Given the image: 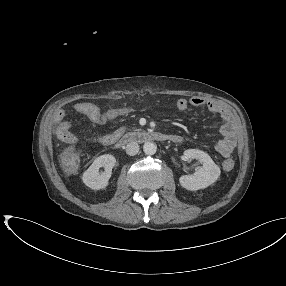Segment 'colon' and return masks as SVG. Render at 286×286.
<instances>
[{
  "instance_id": "5ec220e1",
  "label": "colon",
  "mask_w": 286,
  "mask_h": 286,
  "mask_svg": "<svg viewBox=\"0 0 286 286\" xmlns=\"http://www.w3.org/2000/svg\"><path fill=\"white\" fill-rule=\"evenodd\" d=\"M62 141H64L65 143L69 145L64 149L61 155V162L66 169L74 170L79 164V160H80L79 153L74 149L73 146H71L72 143L70 142L69 139L65 138ZM233 165H234V162L232 159H228L224 163V167L227 170L231 169Z\"/></svg>"
}]
</instances>
